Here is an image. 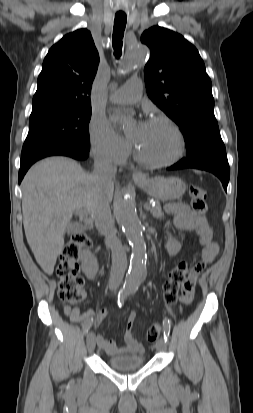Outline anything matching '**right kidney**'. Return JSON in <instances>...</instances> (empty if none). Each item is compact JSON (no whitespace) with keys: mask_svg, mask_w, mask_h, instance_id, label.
I'll return each instance as SVG.
<instances>
[{"mask_svg":"<svg viewBox=\"0 0 253 413\" xmlns=\"http://www.w3.org/2000/svg\"><path fill=\"white\" fill-rule=\"evenodd\" d=\"M82 271L88 279H93L98 272V263L96 257L89 251H84L81 255Z\"/></svg>","mask_w":253,"mask_h":413,"instance_id":"right-kidney-1","label":"right kidney"}]
</instances>
